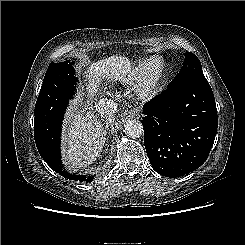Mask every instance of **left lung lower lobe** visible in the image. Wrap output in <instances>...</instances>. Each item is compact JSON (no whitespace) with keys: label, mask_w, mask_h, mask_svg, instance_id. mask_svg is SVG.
Instances as JSON below:
<instances>
[{"label":"left lung lower lobe","mask_w":245,"mask_h":245,"mask_svg":"<svg viewBox=\"0 0 245 245\" xmlns=\"http://www.w3.org/2000/svg\"><path fill=\"white\" fill-rule=\"evenodd\" d=\"M144 144L153 169L180 177L208 158L217 133V109L204 76L169 86L143 106Z\"/></svg>","instance_id":"1"}]
</instances>
